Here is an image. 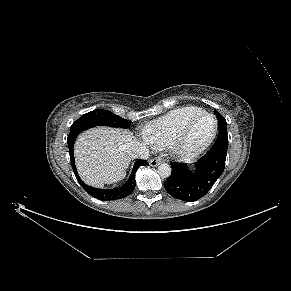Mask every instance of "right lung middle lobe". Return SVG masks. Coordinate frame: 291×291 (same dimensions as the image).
Wrapping results in <instances>:
<instances>
[{"instance_id":"obj_1","label":"right lung middle lobe","mask_w":291,"mask_h":291,"mask_svg":"<svg viewBox=\"0 0 291 291\" xmlns=\"http://www.w3.org/2000/svg\"><path fill=\"white\" fill-rule=\"evenodd\" d=\"M74 124L79 126L105 125L110 127L127 128L131 124V121L126 120L110 111L96 109L82 115L78 120L74 122Z\"/></svg>"}]
</instances>
